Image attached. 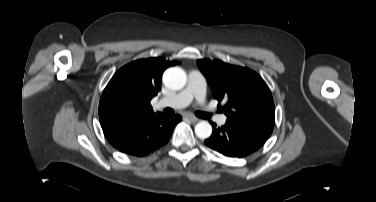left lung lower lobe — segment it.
Masks as SVG:
<instances>
[{
    "label": "left lung lower lobe",
    "instance_id": "1",
    "mask_svg": "<svg viewBox=\"0 0 376 202\" xmlns=\"http://www.w3.org/2000/svg\"><path fill=\"white\" fill-rule=\"evenodd\" d=\"M213 125L212 135L205 144L229 157L247 156L264 145L270 133L253 127L226 121L225 125L216 128Z\"/></svg>",
    "mask_w": 376,
    "mask_h": 202
}]
</instances>
